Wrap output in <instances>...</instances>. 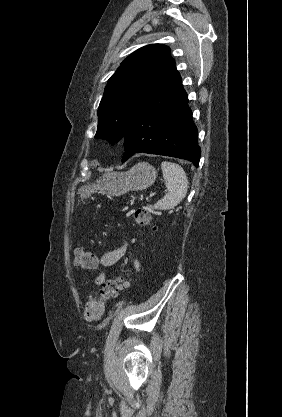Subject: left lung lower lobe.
<instances>
[{
    "label": "left lung lower lobe",
    "instance_id": "1",
    "mask_svg": "<svg viewBox=\"0 0 282 417\" xmlns=\"http://www.w3.org/2000/svg\"><path fill=\"white\" fill-rule=\"evenodd\" d=\"M123 138L122 162L147 153L186 159L198 167L197 128L175 66L133 112Z\"/></svg>",
    "mask_w": 282,
    "mask_h": 417
}]
</instances>
